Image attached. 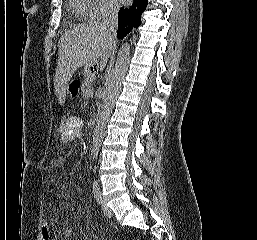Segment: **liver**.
Masks as SVG:
<instances>
[{"mask_svg": "<svg viewBox=\"0 0 257 240\" xmlns=\"http://www.w3.org/2000/svg\"><path fill=\"white\" fill-rule=\"evenodd\" d=\"M59 57L54 79L55 92L60 104L65 102L66 88L74 72L84 66L86 69L100 59L102 71L116 49V43L101 24L89 22L78 25L61 36Z\"/></svg>", "mask_w": 257, "mask_h": 240, "instance_id": "liver-1", "label": "liver"}]
</instances>
